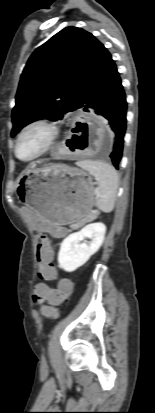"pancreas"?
I'll return each mask as SVG.
<instances>
[{"mask_svg": "<svg viewBox=\"0 0 155 413\" xmlns=\"http://www.w3.org/2000/svg\"><path fill=\"white\" fill-rule=\"evenodd\" d=\"M97 213L95 212V213H92V214H90L89 216H87L85 219H83V220H79V221H76V222H74L71 226H70V228L71 229H78V228H80V227H82L86 222H89V221H92V220H94V219H96L97 218Z\"/></svg>", "mask_w": 155, "mask_h": 413, "instance_id": "pancreas-1", "label": "pancreas"}]
</instances>
